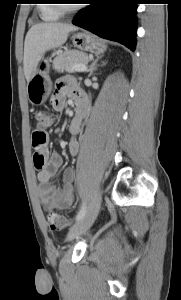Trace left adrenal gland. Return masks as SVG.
I'll return each instance as SVG.
<instances>
[{
  "label": "left adrenal gland",
  "mask_w": 181,
  "mask_h": 300,
  "mask_svg": "<svg viewBox=\"0 0 181 300\" xmlns=\"http://www.w3.org/2000/svg\"><path fill=\"white\" fill-rule=\"evenodd\" d=\"M101 57H102V56L97 57V58L91 63V65H90V67H89V70H88V71H89V75H88L89 77H90V76L93 74V72L96 70V68H97V62H98L99 59H101ZM105 64H106V63L103 62V63H102V66L105 65Z\"/></svg>",
  "instance_id": "left-adrenal-gland-1"
}]
</instances>
